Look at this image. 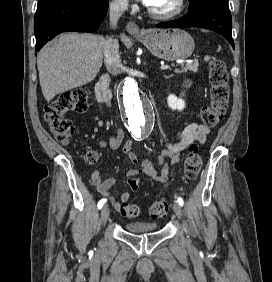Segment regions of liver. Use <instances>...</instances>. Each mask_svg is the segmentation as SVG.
Segmentation results:
<instances>
[{
	"instance_id": "obj_1",
	"label": "liver",
	"mask_w": 272,
	"mask_h": 282,
	"mask_svg": "<svg viewBox=\"0 0 272 282\" xmlns=\"http://www.w3.org/2000/svg\"><path fill=\"white\" fill-rule=\"evenodd\" d=\"M105 38L89 33L62 34L37 56L44 98L85 85L95 79L103 62Z\"/></svg>"
}]
</instances>
